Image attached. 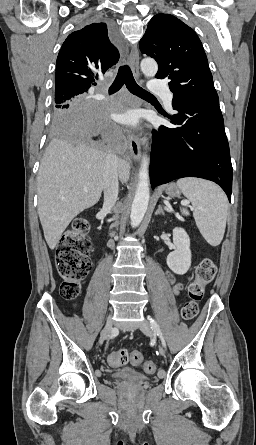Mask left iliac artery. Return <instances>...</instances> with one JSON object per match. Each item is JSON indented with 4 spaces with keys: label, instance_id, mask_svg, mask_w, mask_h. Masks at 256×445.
Segmentation results:
<instances>
[{
    "label": "left iliac artery",
    "instance_id": "left-iliac-artery-1",
    "mask_svg": "<svg viewBox=\"0 0 256 445\" xmlns=\"http://www.w3.org/2000/svg\"><path fill=\"white\" fill-rule=\"evenodd\" d=\"M148 320L150 321V324L152 326V329L154 330V332L159 336V338L161 339L162 345L166 348V342L165 339L163 337V334L161 332L160 326L158 325V323L151 318L150 316H148Z\"/></svg>",
    "mask_w": 256,
    "mask_h": 445
}]
</instances>
